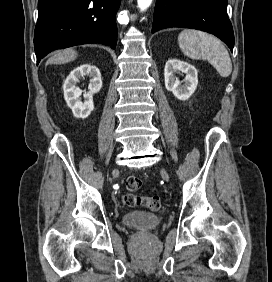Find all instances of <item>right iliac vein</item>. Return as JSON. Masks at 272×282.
Masks as SVG:
<instances>
[{
	"label": "right iliac vein",
	"instance_id": "obj_1",
	"mask_svg": "<svg viewBox=\"0 0 272 282\" xmlns=\"http://www.w3.org/2000/svg\"><path fill=\"white\" fill-rule=\"evenodd\" d=\"M116 172H117V169L114 168L113 171H112V174L114 175Z\"/></svg>",
	"mask_w": 272,
	"mask_h": 282
}]
</instances>
